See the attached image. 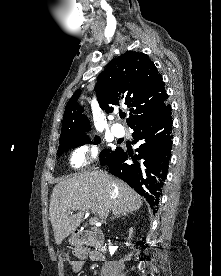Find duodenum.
Here are the masks:
<instances>
[{
	"label": "duodenum",
	"mask_w": 221,
	"mask_h": 276,
	"mask_svg": "<svg viewBox=\"0 0 221 276\" xmlns=\"http://www.w3.org/2000/svg\"><path fill=\"white\" fill-rule=\"evenodd\" d=\"M76 242L79 246L86 243H90L95 247V252L102 256L103 252L106 250L104 244L103 235L97 230H78L75 233Z\"/></svg>",
	"instance_id": "410a0bca"
}]
</instances>
